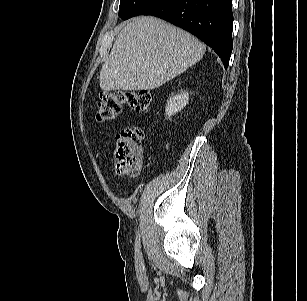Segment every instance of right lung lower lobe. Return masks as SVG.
<instances>
[{
	"label": "right lung lower lobe",
	"mask_w": 307,
	"mask_h": 301,
	"mask_svg": "<svg viewBox=\"0 0 307 301\" xmlns=\"http://www.w3.org/2000/svg\"><path fill=\"white\" fill-rule=\"evenodd\" d=\"M140 15L157 16L189 31L228 67L233 47L232 0H160Z\"/></svg>",
	"instance_id": "obj_1"
}]
</instances>
